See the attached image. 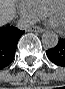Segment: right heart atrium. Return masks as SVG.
<instances>
[{
	"label": "right heart atrium",
	"instance_id": "d8ad5b80",
	"mask_svg": "<svg viewBox=\"0 0 65 89\" xmlns=\"http://www.w3.org/2000/svg\"><path fill=\"white\" fill-rule=\"evenodd\" d=\"M15 8L20 18L26 24H32L36 22L46 13V9L39 6L33 0H17L15 2Z\"/></svg>",
	"mask_w": 65,
	"mask_h": 89
}]
</instances>
